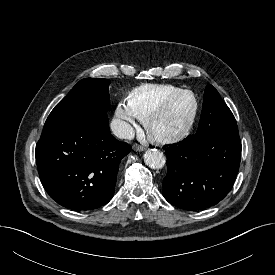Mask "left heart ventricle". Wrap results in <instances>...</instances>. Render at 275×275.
Listing matches in <instances>:
<instances>
[{
	"label": "left heart ventricle",
	"mask_w": 275,
	"mask_h": 275,
	"mask_svg": "<svg viewBox=\"0 0 275 275\" xmlns=\"http://www.w3.org/2000/svg\"><path fill=\"white\" fill-rule=\"evenodd\" d=\"M192 110V99L189 96L177 98L168 109L158 116L151 125L156 135H167L181 129L188 120Z\"/></svg>",
	"instance_id": "b2bd125f"
}]
</instances>
